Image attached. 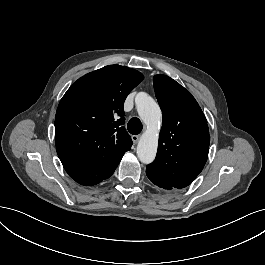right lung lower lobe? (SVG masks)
I'll list each match as a JSON object with an SVG mask.
<instances>
[{
  "instance_id": "1",
  "label": "right lung lower lobe",
  "mask_w": 265,
  "mask_h": 265,
  "mask_svg": "<svg viewBox=\"0 0 265 265\" xmlns=\"http://www.w3.org/2000/svg\"><path fill=\"white\" fill-rule=\"evenodd\" d=\"M124 153L109 161L81 162L61 160V162L72 179L81 185L92 186L113 174Z\"/></svg>"
}]
</instances>
